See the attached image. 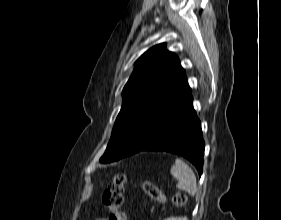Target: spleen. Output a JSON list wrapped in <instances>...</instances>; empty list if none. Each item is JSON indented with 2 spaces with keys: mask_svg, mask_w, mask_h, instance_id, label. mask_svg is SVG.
<instances>
[{
  "mask_svg": "<svg viewBox=\"0 0 281 220\" xmlns=\"http://www.w3.org/2000/svg\"><path fill=\"white\" fill-rule=\"evenodd\" d=\"M171 175L178 180L177 188L194 196L197 193L196 176L193 170L181 159L177 158L171 167Z\"/></svg>",
  "mask_w": 281,
  "mask_h": 220,
  "instance_id": "obj_1",
  "label": "spleen"
}]
</instances>
